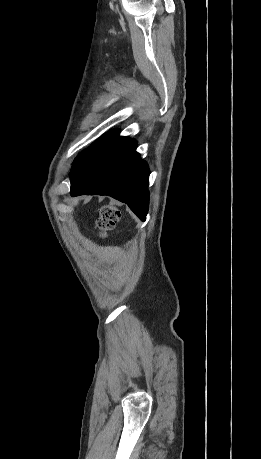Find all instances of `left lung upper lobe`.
<instances>
[{
    "mask_svg": "<svg viewBox=\"0 0 261 459\" xmlns=\"http://www.w3.org/2000/svg\"><path fill=\"white\" fill-rule=\"evenodd\" d=\"M116 132L112 131L104 135L100 140L92 144L89 148L82 151L80 155L75 159L72 167V174L108 139H110Z\"/></svg>",
    "mask_w": 261,
    "mask_h": 459,
    "instance_id": "5c2ea615",
    "label": "left lung upper lobe"
}]
</instances>
